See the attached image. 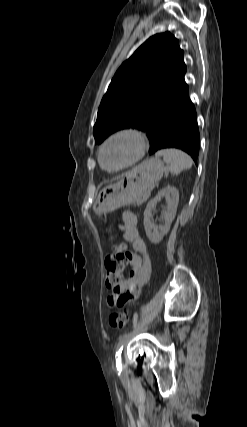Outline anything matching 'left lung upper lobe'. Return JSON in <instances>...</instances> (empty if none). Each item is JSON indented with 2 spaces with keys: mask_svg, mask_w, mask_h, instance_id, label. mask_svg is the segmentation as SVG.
Wrapping results in <instances>:
<instances>
[{
  "mask_svg": "<svg viewBox=\"0 0 247 427\" xmlns=\"http://www.w3.org/2000/svg\"><path fill=\"white\" fill-rule=\"evenodd\" d=\"M183 55L169 32L146 40L119 67L101 101L95 143L124 128L146 131L157 113L188 88Z\"/></svg>",
  "mask_w": 247,
  "mask_h": 427,
  "instance_id": "5c2ea615",
  "label": "left lung upper lobe"
}]
</instances>
